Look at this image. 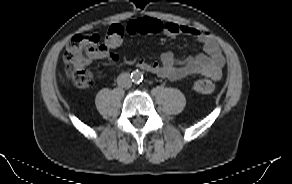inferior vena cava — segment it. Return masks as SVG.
Wrapping results in <instances>:
<instances>
[{
  "mask_svg": "<svg viewBox=\"0 0 292 184\" xmlns=\"http://www.w3.org/2000/svg\"><path fill=\"white\" fill-rule=\"evenodd\" d=\"M117 84L118 86L128 89L132 86V80L130 78V75L128 73H122L117 78Z\"/></svg>",
  "mask_w": 292,
  "mask_h": 184,
  "instance_id": "602c4592",
  "label": "inferior vena cava"
}]
</instances>
